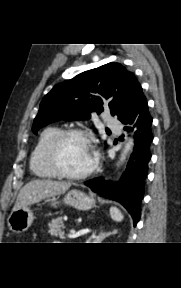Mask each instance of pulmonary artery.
<instances>
[{"mask_svg":"<svg viewBox=\"0 0 181 288\" xmlns=\"http://www.w3.org/2000/svg\"><path fill=\"white\" fill-rule=\"evenodd\" d=\"M106 123H107V126L109 128H112L114 130H118L120 128V124L119 122L112 116L110 115H106Z\"/></svg>","mask_w":181,"mask_h":288,"instance_id":"e3ab8cb5","label":"pulmonary artery"}]
</instances>
